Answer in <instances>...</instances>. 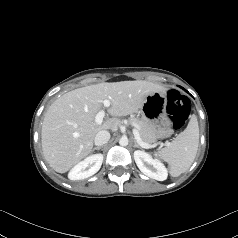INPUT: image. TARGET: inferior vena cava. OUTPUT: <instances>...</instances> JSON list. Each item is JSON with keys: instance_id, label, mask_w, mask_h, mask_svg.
Here are the masks:
<instances>
[{"instance_id": "obj_1", "label": "inferior vena cava", "mask_w": 238, "mask_h": 238, "mask_svg": "<svg viewBox=\"0 0 238 238\" xmlns=\"http://www.w3.org/2000/svg\"><path fill=\"white\" fill-rule=\"evenodd\" d=\"M110 139V133L106 130H101L99 131L95 138H94V143L97 146H101L106 144Z\"/></svg>"}]
</instances>
